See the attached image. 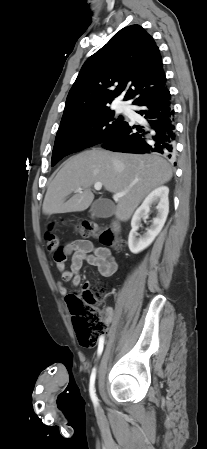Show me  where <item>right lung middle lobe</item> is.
Instances as JSON below:
<instances>
[{
  "label": "right lung middle lobe",
  "mask_w": 207,
  "mask_h": 449,
  "mask_svg": "<svg viewBox=\"0 0 207 449\" xmlns=\"http://www.w3.org/2000/svg\"><path fill=\"white\" fill-rule=\"evenodd\" d=\"M109 108L72 116L61 120L52 153L51 165L63 157L103 143L123 123Z\"/></svg>",
  "instance_id": "dd1d6c3e"
}]
</instances>
